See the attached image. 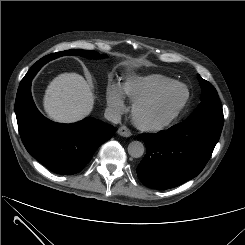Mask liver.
<instances>
[{
    "label": "liver",
    "mask_w": 245,
    "mask_h": 245,
    "mask_svg": "<svg viewBox=\"0 0 245 245\" xmlns=\"http://www.w3.org/2000/svg\"><path fill=\"white\" fill-rule=\"evenodd\" d=\"M94 96L90 85L77 73H63L48 85L43 106L48 117L60 123H73L90 114Z\"/></svg>",
    "instance_id": "liver-1"
}]
</instances>
